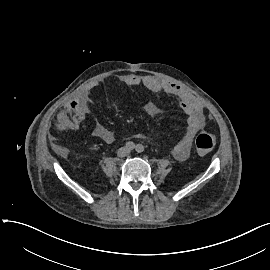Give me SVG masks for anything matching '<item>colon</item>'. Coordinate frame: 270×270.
I'll return each instance as SVG.
<instances>
[{
    "mask_svg": "<svg viewBox=\"0 0 270 270\" xmlns=\"http://www.w3.org/2000/svg\"><path fill=\"white\" fill-rule=\"evenodd\" d=\"M195 144H196L197 151L200 154L205 155V154L210 153L214 149L216 141H215V137L212 134L206 133V134H200L199 136H197Z\"/></svg>",
    "mask_w": 270,
    "mask_h": 270,
    "instance_id": "5ec220e1",
    "label": "colon"
}]
</instances>
